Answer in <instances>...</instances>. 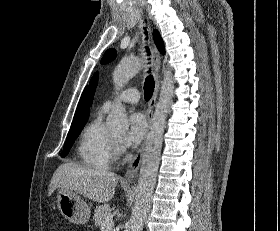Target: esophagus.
<instances>
[{"label": "esophagus", "instance_id": "1", "mask_svg": "<svg viewBox=\"0 0 280 231\" xmlns=\"http://www.w3.org/2000/svg\"><path fill=\"white\" fill-rule=\"evenodd\" d=\"M149 26V31L150 33L152 32V27ZM151 51H152V66H153V77L155 81V88H154V93L152 95V98L149 103L148 107V114H147V119L148 123L150 124L154 112V108L156 106V99L158 96V92L160 89V82H159V70H160V65H161V57L160 53L157 50L153 40L151 41ZM145 148V141H143L142 145L140 146L139 150L137 151L136 155L134 156L133 160L130 162L126 173L124 175L123 181H131L133 180L140 169L142 158H143V152Z\"/></svg>", "mask_w": 280, "mask_h": 231}]
</instances>
